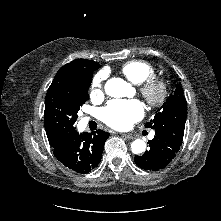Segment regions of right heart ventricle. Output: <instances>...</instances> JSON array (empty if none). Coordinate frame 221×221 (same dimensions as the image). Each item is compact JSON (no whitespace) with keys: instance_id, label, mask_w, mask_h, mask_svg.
<instances>
[{"instance_id":"obj_1","label":"right heart ventricle","mask_w":221,"mask_h":221,"mask_svg":"<svg viewBox=\"0 0 221 221\" xmlns=\"http://www.w3.org/2000/svg\"><path fill=\"white\" fill-rule=\"evenodd\" d=\"M121 71L134 84H141L155 73L154 68L149 63L140 60L125 63Z\"/></svg>"}]
</instances>
